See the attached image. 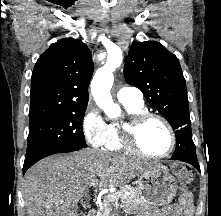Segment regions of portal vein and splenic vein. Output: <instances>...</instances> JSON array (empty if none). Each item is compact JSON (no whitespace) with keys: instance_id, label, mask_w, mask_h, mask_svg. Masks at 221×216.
I'll use <instances>...</instances> for the list:
<instances>
[{"instance_id":"obj_1","label":"portal vein and splenic vein","mask_w":221,"mask_h":216,"mask_svg":"<svg viewBox=\"0 0 221 216\" xmlns=\"http://www.w3.org/2000/svg\"><path fill=\"white\" fill-rule=\"evenodd\" d=\"M96 184L95 183H92V186H95Z\"/></svg>"}]
</instances>
